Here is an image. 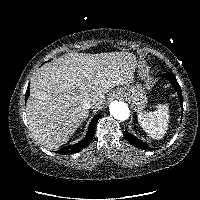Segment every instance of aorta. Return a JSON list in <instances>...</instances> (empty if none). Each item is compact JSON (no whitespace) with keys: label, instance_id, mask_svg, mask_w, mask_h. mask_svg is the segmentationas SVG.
I'll use <instances>...</instances> for the list:
<instances>
[{"label":"aorta","instance_id":"aorta-1","mask_svg":"<svg viewBox=\"0 0 200 200\" xmlns=\"http://www.w3.org/2000/svg\"><path fill=\"white\" fill-rule=\"evenodd\" d=\"M111 115L121 121L128 119L130 115L129 107L126 103L121 101H113L109 105Z\"/></svg>","mask_w":200,"mask_h":200}]
</instances>
